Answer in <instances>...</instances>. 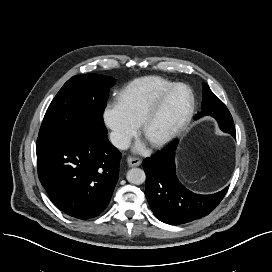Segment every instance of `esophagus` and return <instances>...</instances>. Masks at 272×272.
Instances as JSON below:
<instances>
[{
	"label": "esophagus",
	"instance_id": "esophagus-1",
	"mask_svg": "<svg viewBox=\"0 0 272 272\" xmlns=\"http://www.w3.org/2000/svg\"><path fill=\"white\" fill-rule=\"evenodd\" d=\"M141 159L137 158V157H128L127 158V163L130 167H135V166H139L141 164Z\"/></svg>",
	"mask_w": 272,
	"mask_h": 272
}]
</instances>
